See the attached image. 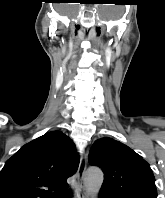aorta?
Masks as SVG:
<instances>
[{
	"label": "aorta",
	"mask_w": 165,
	"mask_h": 198,
	"mask_svg": "<svg viewBox=\"0 0 165 198\" xmlns=\"http://www.w3.org/2000/svg\"><path fill=\"white\" fill-rule=\"evenodd\" d=\"M103 180V172L98 167H90L86 171L84 177V184L91 198L97 197L99 190L102 186Z\"/></svg>",
	"instance_id": "1"
}]
</instances>
